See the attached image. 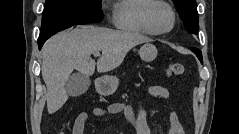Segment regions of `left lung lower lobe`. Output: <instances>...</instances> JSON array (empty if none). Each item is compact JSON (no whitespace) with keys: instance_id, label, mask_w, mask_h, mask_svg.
<instances>
[{"instance_id":"obj_1","label":"left lung lower lobe","mask_w":239,"mask_h":134,"mask_svg":"<svg viewBox=\"0 0 239 134\" xmlns=\"http://www.w3.org/2000/svg\"><path fill=\"white\" fill-rule=\"evenodd\" d=\"M191 50L197 55L199 59H201L202 54L200 50H198L197 48H192Z\"/></svg>"}]
</instances>
